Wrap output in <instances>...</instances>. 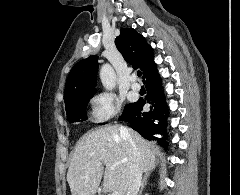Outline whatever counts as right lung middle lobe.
Segmentation results:
<instances>
[{
    "label": "right lung middle lobe",
    "mask_w": 240,
    "mask_h": 195,
    "mask_svg": "<svg viewBox=\"0 0 240 195\" xmlns=\"http://www.w3.org/2000/svg\"><path fill=\"white\" fill-rule=\"evenodd\" d=\"M90 99L91 97L76 99L65 106L67 119L70 123L87 120L86 106ZM134 105L135 103L127 104L123 110V114L129 111Z\"/></svg>",
    "instance_id": "1"
}]
</instances>
